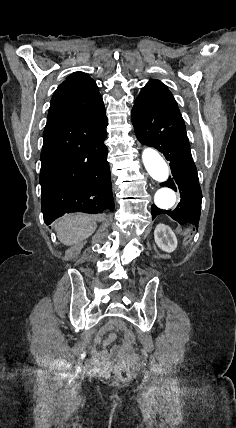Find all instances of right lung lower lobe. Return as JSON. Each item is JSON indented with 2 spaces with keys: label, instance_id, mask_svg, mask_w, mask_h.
<instances>
[{
  "label": "right lung lower lobe",
  "instance_id": "obj_1",
  "mask_svg": "<svg viewBox=\"0 0 236 428\" xmlns=\"http://www.w3.org/2000/svg\"><path fill=\"white\" fill-rule=\"evenodd\" d=\"M106 127L105 109L45 127L40 184L46 224L65 213L114 209Z\"/></svg>",
  "mask_w": 236,
  "mask_h": 428
}]
</instances>
